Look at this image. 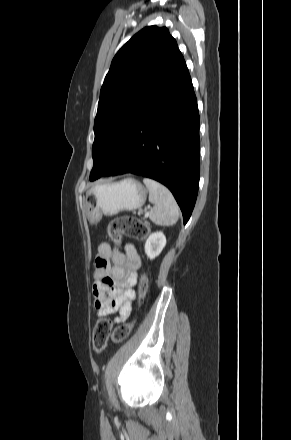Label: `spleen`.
Masks as SVG:
<instances>
[{
  "mask_svg": "<svg viewBox=\"0 0 291 440\" xmlns=\"http://www.w3.org/2000/svg\"><path fill=\"white\" fill-rule=\"evenodd\" d=\"M143 182L149 190V201L154 204L149 213L150 220L157 225L175 224L179 207L169 189L150 178H144Z\"/></svg>",
  "mask_w": 291,
  "mask_h": 440,
  "instance_id": "1",
  "label": "spleen"
}]
</instances>
